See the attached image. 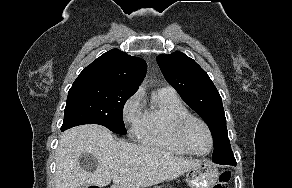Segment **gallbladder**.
Here are the masks:
<instances>
[{
    "instance_id": "gallbladder-1",
    "label": "gallbladder",
    "mask_w": 292,
    "mask_h": 188,
    "mask_svg": "<svg viewBox=\"0 0 292 188\" xmlns=\"http://www.w3.org/2000/svg\"><path fill=\"white\" fill-rule=\"evenodd\" d=\"M89 186L87 184H84V185H81V186H78L77 188H88Z\"/></svg>"
}]
</instances>
